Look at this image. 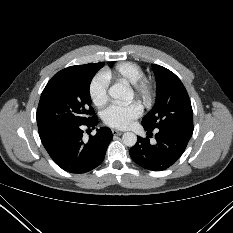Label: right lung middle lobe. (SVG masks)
I'll return each mask as SVG.
<instances>
[{
    "instance_id": "obj_1",
    "label": "right lung middle lobe",
    "mask_w": 233,
    "mask_h": 233,
    "mask_svg": "<svg viewBox=\"0 0 233 233\" xmlns=\"http://www.w3.org/2000/svg\"><path fill=\"white\" fill-rule=\"evenodd\" d=\"M104 63L77 65L55 74L44 88L37 109L38 130L59 125H82L96 117L89 87Z\"/></svg>"
}]
</instances>
